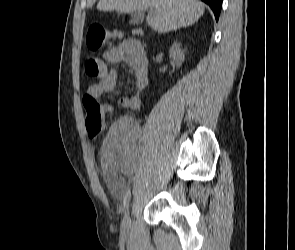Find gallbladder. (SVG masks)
<instances>
[{"label":"gallbladder","instance_id":"obj_1","mask_svg":"<svg viewBox=\"0 0 295 250\" xmlns=\"http://www.w3.org/2000/svg\"><path fill=\"white\" fill-rule=\"evenodd\" d=\"M143 20V17L142 15L139 13V12H135L133 15H132V19H131V23H139Z\"/></svg>","mask_w":295,"mask_h":250}]
</instances>
